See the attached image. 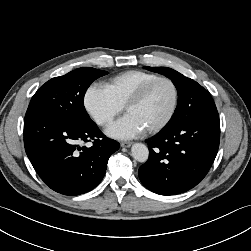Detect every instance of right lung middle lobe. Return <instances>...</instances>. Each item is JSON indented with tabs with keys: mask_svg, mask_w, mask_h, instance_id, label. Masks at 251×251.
Returning a JSON list of instances; mask_svg holds the SVG:
<instances>
[{
	"mask_svg": "<svg viewBox=\"0 0 251 251\" xmlns=\"http://www.w3.org/2000/svg\"><path fill=\"white\" fill-rule=\"evenodd\" d=\"M108 74L84 67L55 77L42 85L32 97L27 111H41L78 126L91 125L84 107L86 90L97 78Z\"/></svg>",
	"mask_w": 251,
	"mask_h": 251,
	"instance_id": "obj_1",
	"label": "right lung middle lobe"
}]
</instances>
